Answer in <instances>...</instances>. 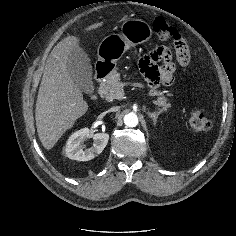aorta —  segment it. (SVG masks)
Listing matches in <instances>:
<instances>
[{"label":"aorta","mask_w":236,"mask_h":236,"mask_svg":"<svg viewBox=\"0 0 236 236\" xmlns=\"http://www.w3.org/2000/svg\"><path fill=\"white\" fill-rule=\"evenodd\" d=\"M124 124L127 127H135L138 125V117L134 113H129L124 116Z\"/></svg>","instance_id":"obj_1"}]
</instances>
